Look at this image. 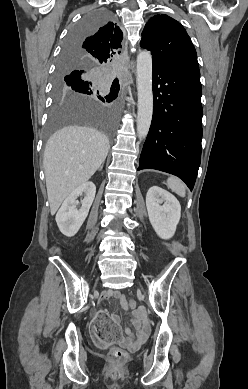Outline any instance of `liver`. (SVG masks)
<instances>
[{"mask_svg": "<svg viewBox=\"0 0 248 389\" xmlns=\"http://www.w3.org/2000/svg\"><path fill=\"white\" fill-rule=\"evenodd\" d=\"M108 151L107 136L91 127L68 126L49 138L43 167L52 215L72 191L94 175Z\"/></svg>", "mask_w": 248, "mask_h": 389, "instance_id": "6515ba94", "label": "liver"}]
</instances>
